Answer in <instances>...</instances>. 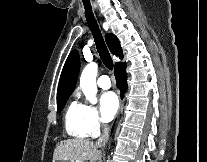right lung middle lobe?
Returning <instances> with one entry per match:
<instances>
[{
    "label": "right lung middle lobe",
    "mask_w": 207,
    "mask_h": 162,
    "mask_svg": "<svg viewBox=\"0 0 207 162\" xmlns=\"http://www.w3.org/2000/svg\"><path fill=\"white\" fill-rule=\"evenodd\" d=\"M68 97H64V98H61V99H58L57 100V108H58V112L60 113L61 110L63 109L66 101H67Z\"/></svg>",
    "instance_id": "1"
}]
</instances>
